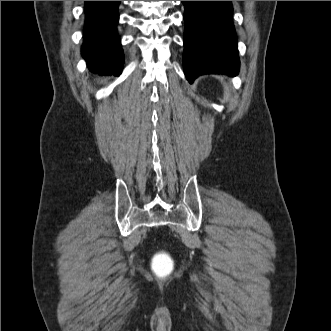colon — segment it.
<instances>
[{"instance_id": "1", "label": "colon", "mask_w": 331, "mask_h": 331, "mask_svg": "<svg viewBox=\"0 0 331 331\" xmlns=\"http://www.w3.org/2000/svg\"><path fill=\"white\" fill-rule=\"evenodd\" d=\"M153 269L159 277H166L173 270V261L167 254L159 253L153 260Z\"/></svg>"}]
</instances>
